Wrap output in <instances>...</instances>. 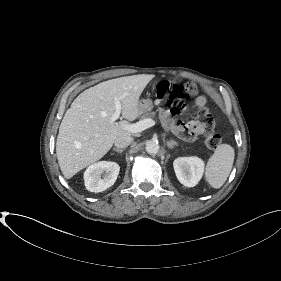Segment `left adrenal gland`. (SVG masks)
<instances>
[{"instance_id": "left-adrenal-gland-1", "label": "left adrenal gland", "mask_w": 281, "mask_h": 281, "mask_svg": "<svg viewBox=\"0 0 281 281\" xmlns=\"http://www.w3.org/2000/svg\"><path fill=\"white\" fill-rule=\"evenodd\" d=\"M166 145L169 149H173L175 146H178V143L176 141L171 140V141H167Z\"/></svg>"}]
</instances>
